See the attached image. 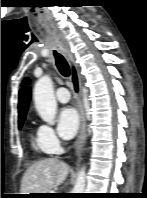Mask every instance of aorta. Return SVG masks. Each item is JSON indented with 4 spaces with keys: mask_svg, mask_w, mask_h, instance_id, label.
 <instances>
[{
    "mask_svg": "<svg viewBox=\"0 0 147 198\" xmlns=\"http://www.w3.org/2000/svg\"><path fill=\"white\" fill-rule=\"evenodd\" d=\"M33 98L35 108L43 121L54 125L57 102L53 92V82L50 76L45 75L38 79L34 86ZM86 173L85 167H82L77 174V179L72 193H84Z\"/></svg>",
    "mask_w": 147,
    "mask_h": 198,
    "instance_id": "aorta-1",
    "label": "aorta"
}]
</instances>
